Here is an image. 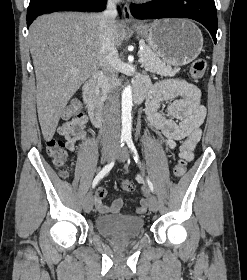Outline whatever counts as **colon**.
Wrapping results in <instances>:
<instances>
[{
	"label": "colon",
	"instance_id": "colon-1",
	"mask_svg": "<svg viewBox=\"0 0 247 280\" xmlns=\"http://www.w3.org/2000/svg\"><path fill=\"white\" fill-rule=\"evenodd\" d=\"M206 66L207 64L204 59L194 61L190 69V77L195 81L200 80L204 76ZM66 114L67 116L82 117L84 114L81 102L77 99H73L68 105ZM46 150L57 165H62L66 161L67 152L63 141L56 139L48 140L46 143ZM186 170V161L181 159L176 163L173 173L175 177L180 178L186 173ZM121 186L125 191H132L134 188L133 183L129 180H124Z\"/></svg>",
	"mask_w": 247,
	"mask_h": 280
}]
</instances>
